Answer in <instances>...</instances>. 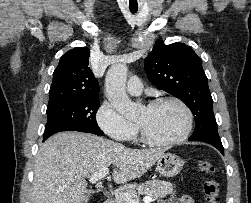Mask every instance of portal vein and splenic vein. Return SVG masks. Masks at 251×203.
I'll list each match as a JSON object with an SVG mask.
<instances>
[{"instance_id":"obj_1","label":"portal vein and splenic vein","mask_w":251,"mask_h":203,"mask_svg":"<svg viewBox=\"0 0 251 203\" xmlns=\"http://www.w3.org/2000/svg\"><path fill=\"white\" fill-rule=\"evenodd\" d=\"M108 173H109L108 168H102L99 171H96L94 174L88 176V178L91 183H97L99 180L105 178ZM115 196L116 198L124 197L128 201V203H139V199L137 198V196L131 195L126 192H118L115 194ZM152 200H153L152 196L150 195L145 196L143 198L144 203H151Z\"/></svg>"}]
</instances>
